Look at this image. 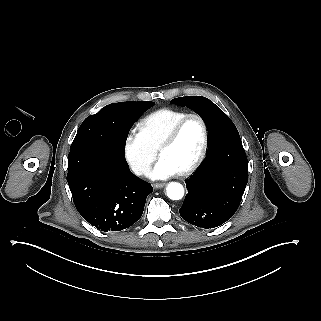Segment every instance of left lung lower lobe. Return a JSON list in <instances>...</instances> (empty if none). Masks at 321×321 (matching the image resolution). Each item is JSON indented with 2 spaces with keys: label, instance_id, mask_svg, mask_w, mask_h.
Here are the masks:
<instances>
[{
  "label": "left lung lower lobe",
  "instance_id": "1",
  "mask_svg": "<svg viewBox=\"0 0 321 321\" xmlns=\"http://www.w3.org/2000/svg\"><path fill=\"white\" fill-rule=\"evenodd\" d=\"M247 182L248 160L240 136L225 137L208 147L206 158L186 180L188 194L179 213L197 227H218L238 209Z\"/></svg>",
  "mask_w": 321,
  "mask_h": 321
}]
</instances>
